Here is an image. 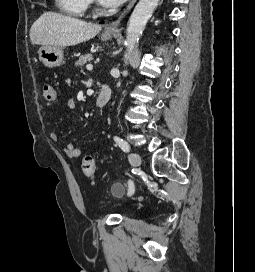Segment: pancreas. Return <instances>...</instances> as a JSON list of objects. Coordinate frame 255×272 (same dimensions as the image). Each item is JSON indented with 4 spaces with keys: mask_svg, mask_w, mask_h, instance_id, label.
<instances>
[{
    "mask_svg": "<svg viewBox=\"0 0 255 272\" xmlns=\"http://www.w3.org/2000/svg\"><path fill=\"white\" fill-rule=\"evenodd\" d=\"M93 60V56L91 54L82 55L79 59L75 62V66L82 67L84 64Z\"/></svg>",
    "mask_w": 255,
    "mask_h": 272,
    "instance_id": "cf45deb5",
    "label": "pancreas"
}]
</instances>
